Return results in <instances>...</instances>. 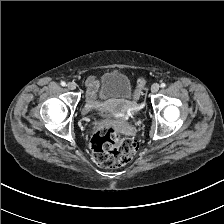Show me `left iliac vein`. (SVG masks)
<instances>
[{
  "label": "left iliac vein",
  "mask_w": 224,
  "mask_h": 224,
  "mask_svg": "<svg viewBox=\"0 0 224 224\" xmlns=\"http://www.w3.org/2000/svg\"><path fill=\"white\" fill-rule=\"evenodd\" d=\"M159 88H160L159 84L158 83H154L151 86V92L152 93H156L159 90Z\"/></svg>",
  "instance_id": "obj_1"
}]
</instances>
